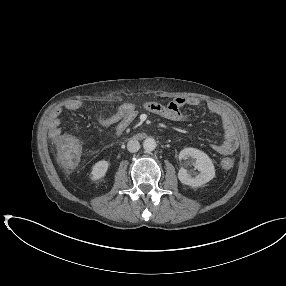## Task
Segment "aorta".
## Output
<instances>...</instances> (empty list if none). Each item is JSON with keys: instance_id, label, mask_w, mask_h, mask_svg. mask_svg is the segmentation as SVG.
<instances>
[{"instance_id": "obj_1", "label": "aorta", "mask_w": 286, "mask_h": 286, "mask_svg": "<svg viewBox=\"0 0 286 286\" xmlns=\"http://www.w3.org/2000/svg\"><path fill=\"white\" fill-rule=\"evenodd\" d=\"M156 146L157 144L154 138H146L143 141V148L148 152L155 150Z\"/></svg>"}]
</instances>
